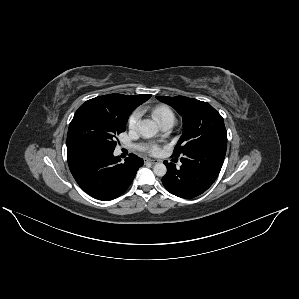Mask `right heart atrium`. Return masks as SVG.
Listing matches in <instances>:
<instances>
[{"label":"right heart atrium","instance_id":"right-heart-atrium-1","mask_svg":"<svg viewBox=\"0 0 299 299\" xmlns=\"http://www.w3.org/2000/svg\"><path fill=\"white\" fill-rule=\"evenodd\" d=\"M142 111L135 110L128 119V127L130 130H135L141 119Z\"/></svg>","mask_w":299,"mask_h":299}]
</instances>
